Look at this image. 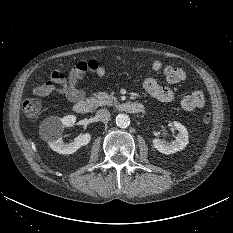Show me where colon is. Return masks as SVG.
Masks as SVG:
<instances>
[{
  "mask_svg": "<svg viewBox=\"0 0 233 233\" xmlns=\"http://www.w3.org/2000/svg\"><path fill=\"white\" fill-rule=\"evenodd\" d=\"M42 102L38 98H30L24 101L23 111L29 117H35L42 111ZM202 123L208 124L211 121V114L205 113L201 118Z\"/></svg>",
  "mask_w": 233,
  "mask_h": 233,
  "instance_id": "obj_1",
  "label": "colon"
}]
</instances>
